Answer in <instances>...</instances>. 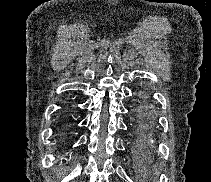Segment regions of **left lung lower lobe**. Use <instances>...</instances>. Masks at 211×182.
<instances>
[{"instance_id": "0a47b994", "label": "left lung lower lobe", "mask_w": 211, "mask_h": 182, "mask_svg": "<svg viewBox=\"0 0 211 182\" xmlns=\"http://www.w3.org/2000/svg\"><path fill=\"white\" fill-rule=\"evenodd\" d=\"M141 100H142L143 105L140 109V115L148 123H154L156 115H155V111L153 107L150 104V101H149L150 99L146 96H143Z\"/></svg>"}]
</instances>
